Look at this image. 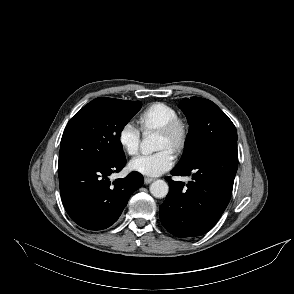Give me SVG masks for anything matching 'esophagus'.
<instances>
[{
	"label": "esophagus",
	"instance_id": "obj_1",
	"mask_svg": "<svg viewBox=\"0 0 294 294\" xmlns=\"http://www.w3.org/2000/svg\"><path fill=\"white\" fill-rule=\"evenodd\" d=\"M155 179L154 178H151V177H144V183L145 184H149L151 183L152 181H154Z\"/></svg>",
	"mask_w": 294,
	"mask_h": 294
}]
</instances>
